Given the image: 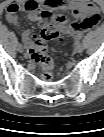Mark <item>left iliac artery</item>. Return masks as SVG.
<instances>
[{"label": "left iliac artery", "instance_id": "1", "mask_svg": "<svg viewBox=\"0 0 104 137\" xmlns=\"http://www.w3.org/2000/svg\"><path fill=\"white\" fill-rule=\"evenodd\" d=\"M83 39V36L82 35H79L78 37L75 38V41H80Z\"/></svg>", "mask_w": 104, "mask_h": 137}]
</instances>
